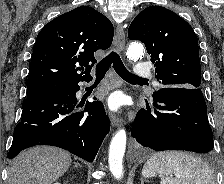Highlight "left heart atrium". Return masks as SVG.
<instances>
[{
    "label": "left heart atrium",
    "mask_w": 224,
    "mask_h": 184,
    "mask_svg": "<svg viewBox=\"0 0 224 184\" xmlns=\"http://www.w3.org/2000/svg\"><path fill=\"white\" fill-rule=\"evenodd\" d=\"M109 106L112 109H118L120 106V99L118 95H112L109 99Z\"/></svg>",
    "instance_id": "39dd6f15"
}]
</instances>
